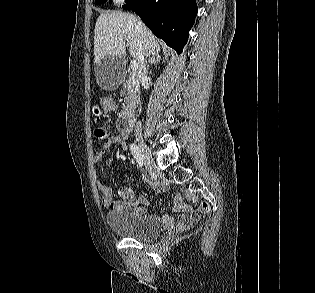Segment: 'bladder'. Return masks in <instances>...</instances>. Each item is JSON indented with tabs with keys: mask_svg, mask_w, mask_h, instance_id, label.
Listing matches in <instances>:
<instances>
[{
	"mask_svg": "<svg viewBox=\"0 0 315 293\" xmlns=\"http://www.w3.org/2000/svg\"><path fill=\"white\" fill-rule=\"evenodd\" d=\"M107 222L115 234L136 240H151L161 233L155 218L128 209L110 211Z\"/></svg>",
	"mask_w": 315,
	"mask_h": 293,
	"instance_id": "bladder-1",
	"label": "bladder"
}]
</instances>
